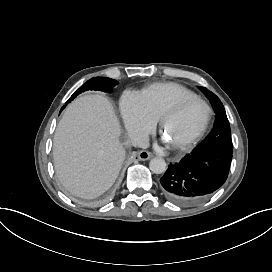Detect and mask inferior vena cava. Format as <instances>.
<instances>
[{"label": "inferior vena cava", "mask_w": 272, "mask_h": 272, "mask_svg": "<svg viewBox=\"0 0 272 272\" xmlns=\"http://www.w3.org/2000/svg\"><path fill=\"white\" fill-rule=\"evenodd\" d=\"M128 141L132 146L139 148H147L149 146L148 135L143 132L130 134Z\"/></svg>", "instance_id": "obj_1"}]
</instances>
